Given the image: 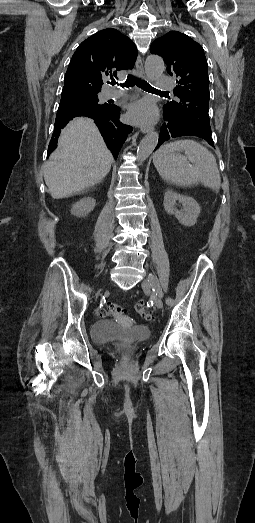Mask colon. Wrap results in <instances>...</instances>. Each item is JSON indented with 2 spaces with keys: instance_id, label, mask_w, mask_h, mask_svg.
Segmentation results:
<instances>
[{
  "instance_id": "colon-1",
  "label": "colon",
  "mask_w": 255,
  "mask_h": 523,
  "mask_svg": "<svg viewBox=\"0 0 255 523\" xmlns=\"http://www.w3.org/2000/svg\"><path fill=\"white\" fill-rule=\"evenodd\" d=\"M135 310L143 319H145V320H151L152 319L151 313L147 310V308L145 307L143 302H137L135 304ZM108 311H109L110 314H112L114 316H118V315L122 314L123 308L120 305L111 304L109 306Z\"/></svg>"
}]
</instances>
